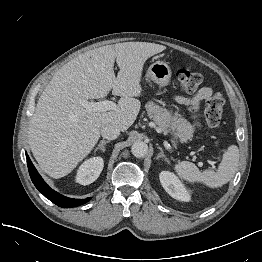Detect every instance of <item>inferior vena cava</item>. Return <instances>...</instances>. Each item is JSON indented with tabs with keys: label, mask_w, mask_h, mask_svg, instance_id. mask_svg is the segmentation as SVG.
<instances>
[{
	"label": "inferior vena cava",
	"mask_w": 262,
	"mask_h": 262,
	"mask_svg": "<svg viewBox=\"0 0 262 262\" xmlns=\"http://www.w3.org/2000/svg\"><path fill=\"white\" fill-rule=\"evenodd\" d=\"M100 132L103 138L113 140L119 136L120 128L115 124H105L101 127Z\"/></svg>",
	"instance_id": "obj_1"
}]
</instances>
